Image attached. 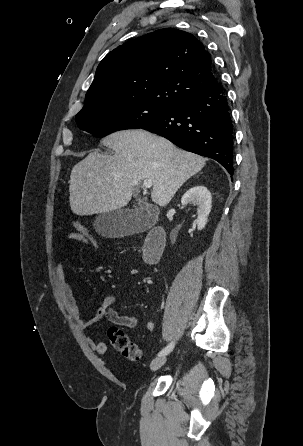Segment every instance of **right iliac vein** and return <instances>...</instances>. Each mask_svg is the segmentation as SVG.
<instances>
[{
    "label": "right iliac vein",
    "mask_w": 303,
    "mask_h": 446,
    "mask_svg": "<svg viewBox=\"0 0 303 446\" xmlns=\"http://www.w3.org/2000/svg\"><path fill=\"white\" fill-rule=\"evenodd\" d=\"M165 362H166V357H165V356L157 357V358H155V359L151 362V364H150V369H151L152 371H156V370H158L159 368H161V367L165 364Z\"/></svg>",
    "instance_id": "right-iliac-vein-1"
}]
</instances>
